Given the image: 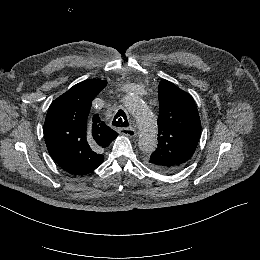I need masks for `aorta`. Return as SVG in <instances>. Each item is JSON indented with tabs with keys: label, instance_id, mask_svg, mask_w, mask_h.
I'll return each mask as SVG.
<instances>
[{
	"label": "aorta",
	"instance_id": "762f6f07",
	"mask_svg": "<svg viewBox=\"0 0 260 260\" xmlns=\"http://www.w3.org/2000/svg\"><path fill=\"white\" fill-rule=\"evenodd\" d=\"M126 109L137 120L140 130L138 146L144 153H152L158 143L157 119L145 102L137 95H127L123 100Z\"/></svg>",
	"mask_w": 260,
	"mask_h": 260
}]
</instances>
